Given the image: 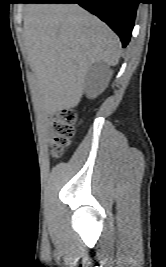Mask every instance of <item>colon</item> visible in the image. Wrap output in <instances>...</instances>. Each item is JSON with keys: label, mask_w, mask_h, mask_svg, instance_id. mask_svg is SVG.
Listing matches in <instances>:
<instances>
[{"label": "colon", "mask_w": 166, "mask_h": 267, "mask_svg": "<svg viewBox=\"0 0 166 267\" xmlns=\"http://www.w3.org/2000/svg\"><path fill=\"white\" fill-rule=\"evenodd\" d=\"M77 113L73 109H62L50 116L53 127L51 140L52 154L59 157L67 148L74 136Z\"/></svg>", "instance_id": "colon-1"}]
</instances>
